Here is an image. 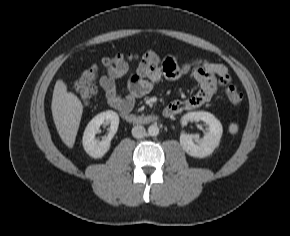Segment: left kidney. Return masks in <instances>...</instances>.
I'll return each mask as SVG.
<instances>
[{
    "label": "left kidney",
    "mask_w": 290,
    "mask_h": 236,
    "mask_svg": "<svg viewBox=\"0 0 290 236\" xmlns=\"http://www.w3.org/2000/svg\"><path fill=\"white\" fill-rule=\"evenodd\" d=\"M203 121L209 128L204 136L199 139L197 135L182 133L180 135V145L183 150L193 157L204 158L213 153L218 147L222 136L223 128L220 121L209 112H190L183 116L182 121ZM195 139L196 143L193 141Z\"/></svg>",
    "instance_id": "obj_1"
}]
</instances>
